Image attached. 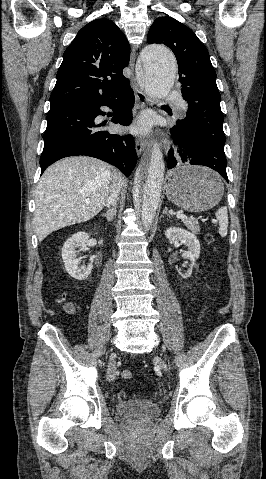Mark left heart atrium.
Returning a JSON list of instances; mask_svg holds the SVG:
<instances>
[{
  "label": "left heart atrium",
  "instance_id": "obj_1",
  "mask_svg": "<svg viewBox=\"0 0 266 479\" xmlns=\"http://www.w3.org/2000/svg\"><path fill=\"white\" fill-rule=\"evenodd\" d=\"M148 126H149V120L147 118H143L137 123L136 129L139 131H144L148 128Z\"/></svg>",
  "mask_w": 266,
  "mask_h": 479
}]
</instances>
